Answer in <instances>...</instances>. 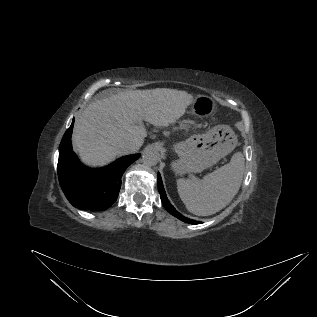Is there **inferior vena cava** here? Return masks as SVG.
I'll return each mask as SVG.
<instances>
[{
  "instance_id": "1",
  "label": "inferior vena cava",
  "mask_w": 317,
  "mask_h": 317,
  "mask_svg": "<svg viewBox=\"0 0 317 317\" xmlns=\"http://www.w3.org/2000/svg\"><path fill=\"white\" fill-rule=\"evenodd\" d=\"M118 149L121 154H129L137 151L138 147L133 142H123Z\"/></svg>"
}]
</instances>
